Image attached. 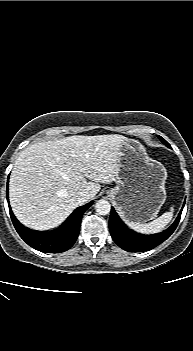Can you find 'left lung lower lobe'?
<instances>
[{
    "mask_svg": "<svg viewBox=\"0 0 193 351\" xmlns=\"http://www.w3.org/2000/svg\"><path fill=\"white\" fill-rule=\"evenodd\" d=\"M184 207V205H183ZM183 207L175 222L165 231L154 235H142L129 229L119 218L114 208H111L109 229L115 243L129 252H143L151 250L169 238L176 229Z\"/></svg>",
    "mask_w": 193,
    "mask_h": 351,
    "instance_id": "1",
    "label": "left lung lower lobe"
}]
</instances>
